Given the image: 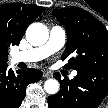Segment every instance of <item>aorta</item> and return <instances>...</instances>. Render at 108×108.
<instances>
[{
    "label": "aorta",
    "mask_w": 108,
    "mask_h": 108,
    "mask_svg": "<svg viewBox=\"0 0 108 108\" xmlns=\"http://www.w3.org/2000/svg\"><path fill=\"white\" fill-rule=\"evenodd\" d=\"M26 38L33 46L43 45L49 38V30L42 23H32L26 30ZM44 90L48 94H56L59 91V82L56 79L46 80Z\"/></svg>",
    "instance_id": "obj_1"
}]
</instances>
